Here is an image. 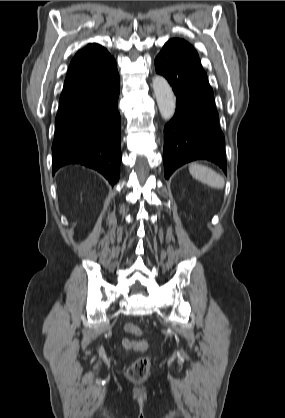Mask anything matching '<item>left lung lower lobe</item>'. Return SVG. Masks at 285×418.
Returning <instances> with one entry per match:
<instances>
[{"label": "left lung lower lobe", "instance_id": "left-lung-lower-lobe-1", "mask_svg": "<svg viewBox=\"0 0 285 418\" xmlns=\"http://www.w3.org/2000/svg\"><path fill=\"white\" fill-rule=\"evenodd\" d=\"M155 67L177 97L174 117L164 128L165 178L197 159L212 161L226 173L224 135L213 90L195 49L183 39H170L155 58Z\"/></svg>", "mask_w": 285, "mask_h": 418}]
</instances>
